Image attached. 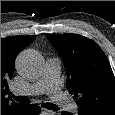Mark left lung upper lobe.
Returning a JSON list of instances; mask_svg holds the SVG:
<instances>
[{"instance_id": "1", "label": "left lung upper lobe", "mask_w": 115, "mask_h": 115, "mask_svg": "<svg viewBox=\"0 0 115 115\" xmlns=\"http://www.w3.org/2000/svg\"><path fill=\"white\" fill-rule=\"evenodd\" d=\"M67 69L78 115H115V77L102 49L78 34H47Z\"/></svg>"}]
</instances>
